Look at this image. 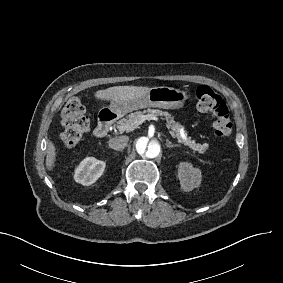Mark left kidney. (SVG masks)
I'll list each match as a JSON object with an SVG mask.
<instances>
[{"label": "left kidney", "mask_w": 283, "mask_h": 283, "mask_svg": "<svg viewBox=\"0 0 283 283\" xmlns=\"http://www.w3.org/2000/svg\"><path fill=\"white\" fill-rule=\"evenodd\" d=\"M178 178L180 180L181 188L186 191H192L199 187L201 182V172L192 167L191 164L182 162L179 164Z\"/></svg>", "instance_id": "1"}]
</instances>
